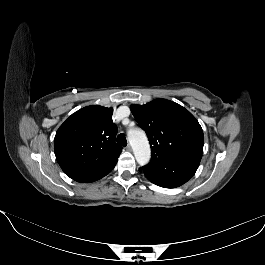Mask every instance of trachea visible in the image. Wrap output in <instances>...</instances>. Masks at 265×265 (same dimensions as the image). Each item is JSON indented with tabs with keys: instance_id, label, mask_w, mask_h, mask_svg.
Instances as JSON below:
<instances>
[{
	"instance_id": "trachea-1",
	"label": "trachea",
	"mask_w": 265,
	"mask_h": 265,
	"mask_svg": "<svg viewBox=\"0 0 265 265\" xmlns=\"http://www.w3.org/2000/svg\"><path fill=\"white\" fill-rule=\"evenodd\" d=\"M117 143L121 146L127 145V140L124 134H119L116 139Z\"/></svg>"
}]
</instances>
